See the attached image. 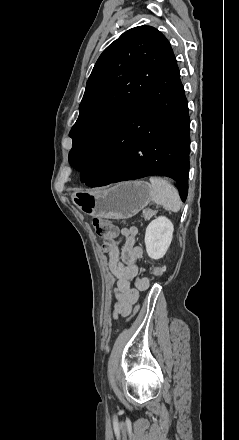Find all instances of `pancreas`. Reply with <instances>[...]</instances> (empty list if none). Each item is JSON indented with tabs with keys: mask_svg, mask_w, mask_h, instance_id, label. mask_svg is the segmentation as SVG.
<instances>
[{
	"mask_svg": "<svg viewBox=\"0 0 239 440\" xmlns=\"http://www.w3.org/2000/svg\"><path fill=\"white\" fill-rule=\"evenodd\" d=\"M155 214L156 212H154V210H143V218H145V220H150Z\"/></svg>",
	"mask_w": 239,
	"mask_h": 440,
	"instance_id": "pancreas-1",
	"label": "pancreas"
}]
</instances>
